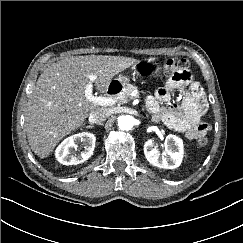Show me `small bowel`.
I'll use <instances>...</instances> for the list:
<instances>
[{
    "mask_svg": "<svg viewBox=\"0 0 243 243\" xmlns=\"http://www.w3.org/2000/svg\"><path fill=\"white\" fill-rule=\"evenodd\" d=\"M175 90H180L181 103H169ZM153 120L162 122L168 128L183 133L188 139H198L209 131V125L202 121L208 103L200 85L188 73L183 78L170 77L165 86L157 89L146 102Z\"/></svg>",
    "mask_w": 243,
    "mask_h": 243,
    "instance_id": "small-bowel-1",
    "label": "small bowel"
}]
</instances>
